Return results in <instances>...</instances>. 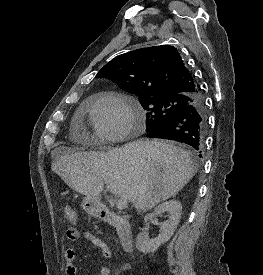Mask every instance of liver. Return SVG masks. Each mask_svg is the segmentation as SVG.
Wrapping results in <instances>:
<instances>
[{"label": "liver", "instance_id": "obj_1", "mask_svg": "<svg viewBox=\"0 0 263 275\" xmlns=\"http://www.w3.org/2000/svg\"><path fill=\"white\" fill-rule=\"evenodd\" d=\"M51 168L71 189L86 197L100 200L106 184L143 212L174 197L196 172L184 149L143 139L107 152L65 150Z\"/></svg>", "mask_w": 263, "mask_h": 275}]
</instances>
